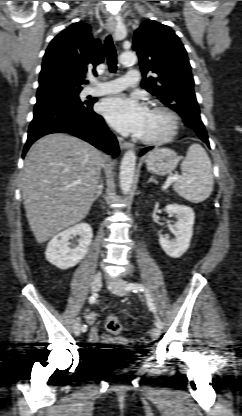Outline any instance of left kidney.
I'll return each instance as SVG.
<instances>
[{"instance_id":"obj_1","label":"left kidney","mask_w":242,"mask_h":416,"mask_svg":"<svg viewBox=\"0 0 242 416\" xmlns=\"http://www.w3.org/2000/svg\"><path fill=\"white\" fill-rule=\"evenodd\" d=\"M165 211L170 215H175L178 219L174 224L175 239L160 235L159 243L168 256L179 258L190 246L195 214L192 208L179 204H169L165 207Z\"/></svg>"}]
</instances>
